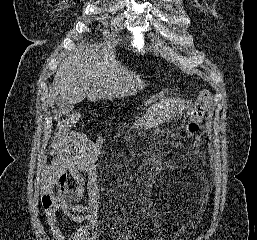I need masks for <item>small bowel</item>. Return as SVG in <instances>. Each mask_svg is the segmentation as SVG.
I'll return each instance as SVG.
<instances>
[{
	"label": "small bowel",
	"instance_id": "small-bowel-1",
	"mask_svg": "<svg viewBox=\"0 0 257 240\" xmlns=\"http://www.w3.org/2000/svg\"><path fill=\"white\" fill-rule=\"evenodd\" d=\"M104 143V136L91 140L79 132L61 134L54 141L51 150V162L43 168L41 185L45 191L66 184L67 172L77 176L85 173L88 176L89 202L87 205L74 204L83 195L84 189L78 187L67 191L60 199L51 200L46 207V218L54 240H98L95 231L97 217V174L95 163ZM60 212L71 221L82 224L75 232L66 235L57 221ZM118 240H134L129 234L121 233Z\"/></svg>",
	"mask_w": 257,
	"mask_h": 240
}]
</instances>
